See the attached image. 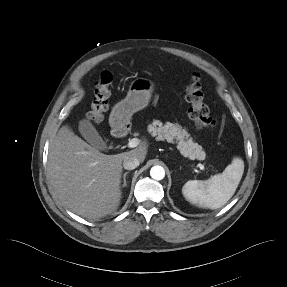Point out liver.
I'll list each match as a JSON object with an SVG mask.
<instances>
[{
    "label": "liver",
    "instance_id": "6515ba94",
    "mask_svg": "<svg viewBox=\"0 0 287 287\" xmlns=\"http://www.w3.org/2000/svg\"><path fill=\"white\" fill-rule=\"evenodd\" d=\"M148 145L106 155L62 126L50 143L47 171L54 194L72 212L99 219L117 210L121 200L122 162L127 156L144 161Z\"/></svg>",
    "mask_w": 287,
    "mask_h": 287
}]
</instances>
